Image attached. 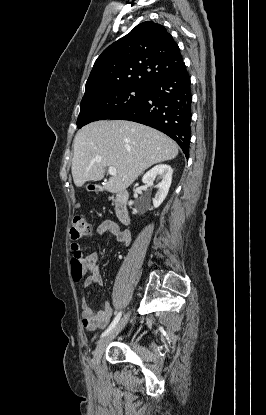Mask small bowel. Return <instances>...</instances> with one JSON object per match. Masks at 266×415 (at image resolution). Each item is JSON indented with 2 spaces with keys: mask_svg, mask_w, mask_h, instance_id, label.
I'll list each match as a JSON object with an SVG mask.
<instances>
[{
  "mask_svg": "<svg viewBox=\"0 0 266 415\" xmlns=\"http://www.w3.org/2000/svg\"><path fill=\"white\" fill-rule=\"evenodd\" d=\"M97 233L103 235L108 233L116 238V240L124 245H129L131 243V234L127 230L120 229L112 221H104L97 227ZM71 251L73 255H79L80 260L83 264V272L88 271V276L84 281V287H89L91 285H103V279L100 274V259L99 255L95 252L82 257L80 245L76 242L71 244ZM113 314V309L109 302H105L104 306L96 311H93L92 308L87 303L86 299L83 297L81 299V317L83 325L89 330H95L98 328H103L109 322Z\"/></svg>",
  "mask_w": 266,
  "mask_h": 415,
  "instance_id": "c3829d8e",
  "label": "small bowel"
}]
</instances>
